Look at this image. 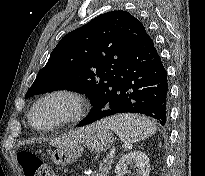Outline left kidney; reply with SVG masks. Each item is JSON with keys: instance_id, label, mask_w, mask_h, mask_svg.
<instances>
[{"instance_id": "1", "label": "left kidney", "mask_w": 205, "mask_h": 176, "mask_svg": "<svg viewBox=\"0 0 205 176\" xmlns=\"http://www.w3.org/2000/svg\"><path fill=\"white\" fill-rule=\"evenodd\" d=\"M134 166L136 168V176H149L150 163L147 155L141 151H132L124 155L115 167L117 176H122L127 167Z\"/></svg>"}]
</instances>
